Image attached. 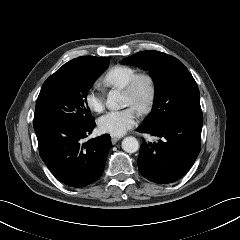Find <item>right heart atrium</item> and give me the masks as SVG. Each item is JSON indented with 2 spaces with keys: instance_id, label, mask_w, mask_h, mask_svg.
Returning <instances> with one entry per match:
<instances>
[{
  "instance_id": "obj_1",
  "label": "right heart atrium",
  "mask_w": 240,
  "mask_h": 240,
  "mask_svg": "<svg viewBox=\"0 0 240 240\" xmlns=\"http://www.w3.org/2000/svg\"><path fill=\"white\" fill-rule=\"evenodd\" d=\"M85 103L87 107L94 112H100L104 108V96L94 89L89 90L85 95Z\"/></svg>"
}]
</instances>
